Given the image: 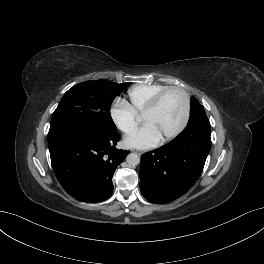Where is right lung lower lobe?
<instances>
[{
  "label": "right lung lower lobe",
  "mask_w": 264,
  "mask_h": 264,
  "mask_svg": "<svg viewBox=\"0 0 264 264\" xmlns=\"http://www.w3.org/2000/svg\"><path fill=\"white\" fill-rule=\"evenodd\" d=\"M120 134L67 133L48 141L55 175L62 187L84 202H100L113 193L112 177L128 151L115 148Z\"/></svg>",
  "instance_id": "98d812e1"
}]
</instances>
